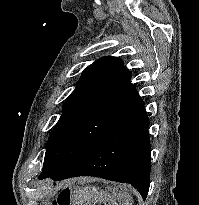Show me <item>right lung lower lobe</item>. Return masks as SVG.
<instances>
[{"mask_svg":"<svg viewBox=\"0 0 199 205\" xmlns=\"http://www.w3.org/2000/svg\"><path fill=\"white\" fill-rule=\"evenodd\" d=\"M139 97L134 86H130ZM149 119L143 107L124 120L101 142L88 148L51 175L53 180L95 176L135 187L145 200L150 186Z\"/></svg>","mask_w":199,"mask_h":205,"instance_id":"obj_1","label":"right lung lower lobe"}]
</instances>
